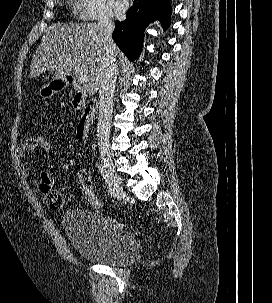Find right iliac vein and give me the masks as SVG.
<instances>
[{
    "mask_svg": "<svg viewBox=\"0 0 272 303\" xmlns=\"http://www.w3.org/2000/svg\"><path fill=\"white\" fill-rule=\"evenodd\" d=\"M103 165L109 175L110 181L114 187L116 196L121 198L123 196L124 190L122 187L121 179L119 175L115 172L112 160L109 157H103Z\"/></svg>",
    "mask_w": 272,
    "mask_h": 303,
    "instance_id": "63e3f726",
    "label": "right iliac vein"
}]
</instances>
